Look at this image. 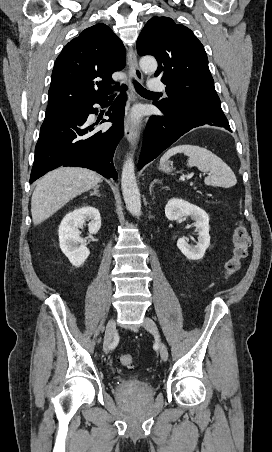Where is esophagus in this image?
<instances>
[{
    "label": "esophagus",
    "mask_w": 272,
    "mask_h": 452,
    "mask_svg": "<svg viewBox=\"0 0 272 452\" xmlns=\"http://www.w3.org/2000/svg\"><path fill=\"white\" fill-rule=\"evenodd\" d=\"M127 59H128L130 73L132 74V76L136 80L142 81L143 74L138 66L136 53L132 48H129V50H128ZM129 87H130L131 91L133 92L134 88H133L132 83H129ZM124 132H125L126 138L131 143L135 142L139 137V131H138L137 127L130 122L129 117H127V120L125 122Z\"/></svg>",
    "instance_id": "esophagus-1"
}]
</instances>
